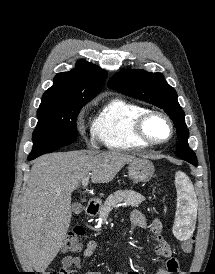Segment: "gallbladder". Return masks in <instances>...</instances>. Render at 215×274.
I'll list each match as a JSON object with an SVG mask.
<instances>
[{
  "label": "gallbladder",
  "mask_w": 215,
  "mask_h": 274,
  "mask_svg": "<svg viewBox=\"0 0 215 274\" xmlns=\"http://www.w3.org/2000/svg\"><path fill=\"white\" fill-rule=\"evenodd\" d=\"M72 210L74 213H80L82 211V205L80 203H74L72 205Z\"/></svg>",
  "instance_id": "bac80fb5"
}]
</instances>
